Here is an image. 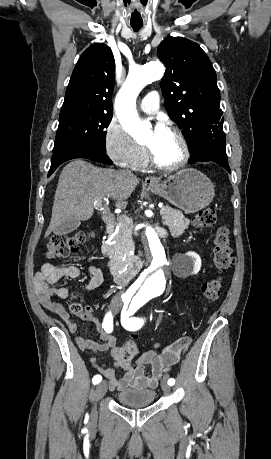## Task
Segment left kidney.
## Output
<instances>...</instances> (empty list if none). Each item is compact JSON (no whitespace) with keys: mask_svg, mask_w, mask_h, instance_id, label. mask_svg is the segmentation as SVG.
<instances>
[{"mask_svg":"<svg viewBox=\"0 0 271 459\" xmlns=\"http://www.w3.org/2000/svg\"><path fill=\"white\" fill-rule=\"evenodd\" d=\"M186 255H187V261L190 267L188 273H198L201 267L200 255H198V253H195V251H188Z\"/></svg>","mask_w":271,"mask_h":459,"instance_id":"1","label":"left kidney"}]
</instances>
